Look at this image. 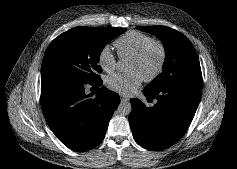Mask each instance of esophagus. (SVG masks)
I'll use <instances>...</instances> for the list:
<instances>
[{"label":"esophagus","mask_w":237,"mask_h":169,"mask_svg":"<svg viewBox=\"0 0 237 169\" xmlns=\"http://www.w3.org/2000/svg\"><path fill=\"white\" fill-rule=\"evenodd\" d=\"M122 102H129L130 98L125 96H120Z\"/></svg>","instance_id":"obj_1"}]
</instances>
